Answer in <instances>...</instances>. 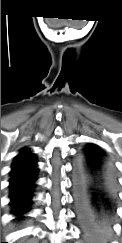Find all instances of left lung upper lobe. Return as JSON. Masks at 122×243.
<instances>
[{
  "label": "left lung upper lobe",
  "mask_w": 122,
  "mask_h": 243,
  "mask_svg": "<svg viewBox=\"0 0 122 243\" xmlns=\"http://www.w3.org/2000/svg\"><path fill=\"white\" fill-rule=\"evenodd\" d=\"M92 149H95V146L90 145V146L84 148L81 153H82V155H88L89 154V151L92 150Z\"/></svg>",
  "instance_id": "1"
}]
</instances>
